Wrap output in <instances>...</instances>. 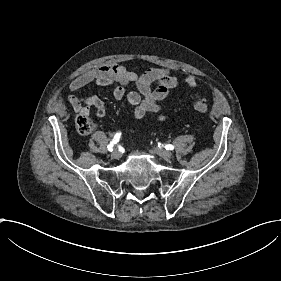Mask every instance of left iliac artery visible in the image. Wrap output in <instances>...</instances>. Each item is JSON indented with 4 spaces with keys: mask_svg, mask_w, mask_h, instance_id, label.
<instances>
[{
    "mask_svg": "<svg viewBox=\"0 0 281 281\" xmlns=\"http://www.w3.org/2000/svg\"><path fill=\"white\" fill-rule=\"evenodd\" d=\"M166 150H173L174 149V146L171 145V144H168L165 146Z\"/></svg>",
    "mask_w": 281,
    "mask_h": 281,
    "instance_id": "1",
    "label": "left iliac artery"
}]
</instances>
